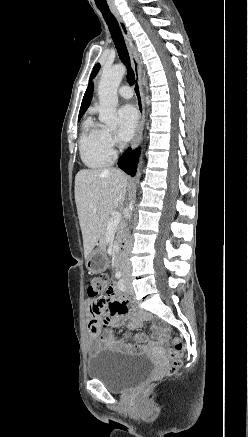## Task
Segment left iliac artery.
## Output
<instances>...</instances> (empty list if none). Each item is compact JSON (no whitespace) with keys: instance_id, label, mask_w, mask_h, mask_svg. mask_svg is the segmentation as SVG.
<instances>
[{"instance_id":"1","label":"left iliac artery","mask_w":248,"mask_h":437,"mask_svg":"<svg viewBox=\"0 0 248 437\" xmlns=\"http://www.w3.org/2000/svg\"><path fill=\"white\" fill-rule=\"evenodd\" d=\"M119 288H120V290H122V291H125V290H126V286H125V284H124V280H123V279H120V280H119Z\"/></svg>"}]
</instances>
